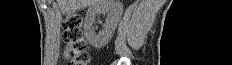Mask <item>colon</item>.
Returning <instances> with one entry per match:
<instances>
[{"label": "colon", "instance_id": "1", "mask_svg": "<svg viewBox=\"0 0 232 65\" xmlns=\"http://www.w3.org/2000/svg\"><path fill=\"white\" fill-rule=\"evenodd\" d=\"M65 51L70 55L69 65H88L89 54L83 32V18L78 13H71L63 21L62 31Z\"/></svg>", "mask_w": 232, "mask_h": 65}]
</instances>
